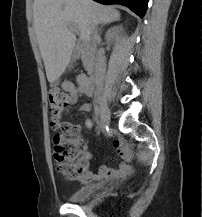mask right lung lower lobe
I'll return each mask as SVG.
<instances>
[{
  "label": "right lung lower lobe",
  "instance_id": "1",
  "mask_svg": "<svg viewBox=\"0 0 202 217\" xmlns=\"http://www.w3.org/2000/svg\"><path fill=\"white\" fill-rule=\"evenodd\" d=\"M95 1L106 5L121 4L123 6L128 7L131 11H133L141 18L144 16L148 4V0H95Z\"/></svg>",
  "mask_w": 202,
  "mask_h": 217
}]
</instances>
